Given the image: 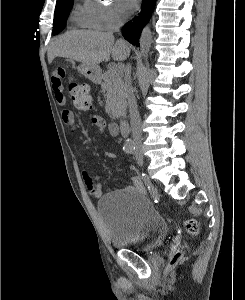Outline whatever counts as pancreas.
Wrapping results in <instances>:
<instances>
[{"label":"pancreas","instance_id":"pancreas-1","mask_svg":"<svg viewBox=\"0 0 245 300\" xmlns=\"http://www.w3.org/2000/svg\"><path fill=\"white\" fill-rule=\"evenodd\" d=\"M122 70H109L102 75V91L106 92V112L112 119L119 118L126 111V92L122 81Z\"/></svg>","mask_w":245,"mask_h":300}]
</instances>
